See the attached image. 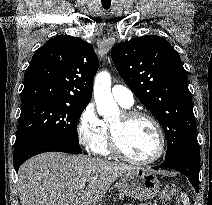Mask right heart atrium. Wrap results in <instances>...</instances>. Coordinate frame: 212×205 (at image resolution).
Segmentation results:
<instances>
[{
	"mask_svg": "<svg viewBox=\"0 0 212 205\" xmlns=\"http://www.w3.org/2000/svg\"><path fill=\"white\" fill-rule=\"evenodd\" d=\"M102 130V120L97 115L94 105L87 104L81 111L76 124L78 142L85 149L92 150L100 140Z\"/></svg>",
	"mask_w": 212,
	"mask_h": 205,
	"instance_id": "obj_1",
	"label": "right heart atrium"
}]
</instances>
